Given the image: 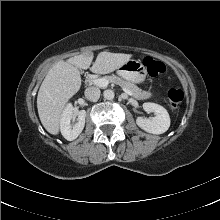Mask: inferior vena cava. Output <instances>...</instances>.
Returning a JSON list of instances; mask_svg holds the SVG:
<instances>
[{"label":"inferior vena cava","instance_id":"602c4592","mask_svg":"<svg viewBox=\"0 0 220 220\" xmlns=\"http://www.w3.org/2000/svg\"><path fill=\"white\" fill-rule=\"evenodd\" d=\"M84 93L90 101H96L100 97V89L97 87H88Z\"/></svg>","mask_w":220,"mask_h":220}]
</instances>
